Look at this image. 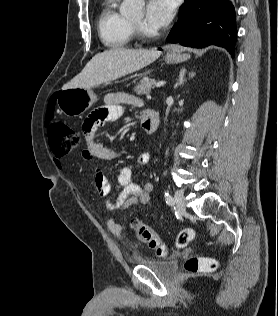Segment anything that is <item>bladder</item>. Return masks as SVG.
<instances>
[{
  "label": "bladder",
  "instance_id": "1",
  "mask_svg": "<svg viewBox=\"0 0 278 316\" xmlns=\"http://www.w3.org/2000/svg\"><path fill=\"white\" fill-rule=\"evenodd\" d=\"M135 265L150 269L154 273L162 277H169L175 270L176 264L173 260H157L148 258H135Z\"/></svg>",
  "mask_w": 278,
  "mask_h": 316
}]
</instances>
